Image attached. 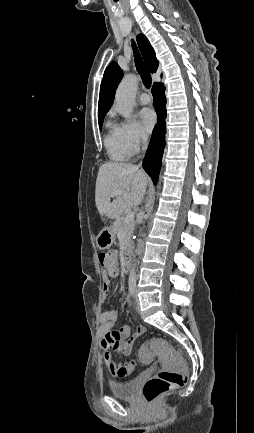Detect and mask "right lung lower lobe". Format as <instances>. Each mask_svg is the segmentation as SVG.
I'll return each mask as SVG.
<instances>
[{
    "label": "right lung lower lobe",
    "instance_id": "right-lung-lower-lobe-1",
    "mask_svg": "<svg viewBox=\"0 0 254 433\" xmlns=\"http://www.w3.org/2000/svg\"><path fill=\"white\" fill-rule=\"evenodd\" d=\"M164 86L155 83L152 88L154 107L158 116V123L155 125L149 143L147 153L144 158L143 167L147 174L152 178L154 184L157 182L158 173L161 167V160L164 150L165 138V117H166V98Z\"/></svg>",
    "mask_w": 254,
    "mask_h": 433
}]
</instances>
